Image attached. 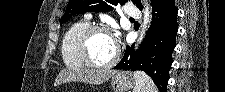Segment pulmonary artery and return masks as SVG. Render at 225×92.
<instances>
[{
  "label": "pulmonary artery",
  "mask_w": 225,
  "mask_h": 92,
  "mask_svg": "<svg viewBox=\"0 0 225 92\" xmlns=\"http://www.w3.org/2000/svg\"><path fill=\"white\" fill-rule=\"evenodd\" d=\"M127 15L130 17V18H138L140 16V12L137 11V10H130L127 12ZM87 19H90V16L88 15L87 16Z\"/></svg>",
  "instance_id": "e3ab8cb5"
}]
</instances>
